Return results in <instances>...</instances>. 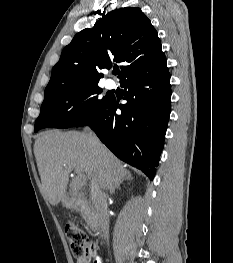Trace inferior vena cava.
<instances>
[{"label":"inferior vena cava","instance_id":"1","mask_svg":"<svg viewBox=\"0 0 233 263\" xmlns=\"http://www.w3.org/2000/svg\"><path fill=\"white\" fill-rule=\"evenodd\" d=\"M97 139V138H96ZM92 201L99 218V223L104 239L109 238V216L107 210V200L105 194L96 184H92L91 189Z\"/></svg>","mask_w":233,"mask_h":263}]
</instances>
